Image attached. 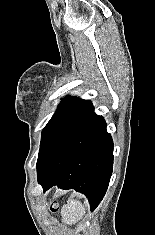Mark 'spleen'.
<instances>
[{
    "label": "spleen",
    "mask_w": 155,
    "mask_h": 235,
    "mask_svg": "<svg viewBox=\"0 0 155 235\" xmlns=\"http://www.w3.org/2000/svg\"><path fill=\"white\" fill-rule=\"evenodd\" d=\"M86 211V205L79 200L70 199L62 209L63 222L69 225L75 224L80 220Z\"/></svg>",
    "instance_id": "3e777b00"
}]
</instances>
